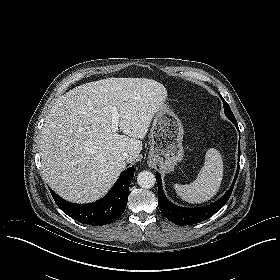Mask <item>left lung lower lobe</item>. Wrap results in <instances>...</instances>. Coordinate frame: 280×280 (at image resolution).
<instances>
[{
    "mask_svg": "<svg viewBox=\"0 0 280 280\" xmlns=\"http://www.w3.org/2000/svg\"><path fill=\"white\" fill-rule=\"evenodd\" d=\"M237 127L238 131V125L237 123H234ZM240 159V141H239V149H238V162ZM239 172V163L238 168L236 171V175L234 178V181L232 183V186L230 189L224 194V196L216 201L215 203L205 206V207H199V208H182L179 206H176L172 204L165 196L163 190H162V182L161 177L158 173H156V181L158 184V190H159V196H158V204L161 213L171 222H173L176 225H190L202 222L209 217H211L213 214L218 212L229 200V197L232 193L234 184L236 182L237 176Z\"/></svg>",
    "mask_w": 280,
    "mask_h": 280,
    "instance_id": "0a47b994",
    "label": "left lung lower lobe"
}]
</instances>
